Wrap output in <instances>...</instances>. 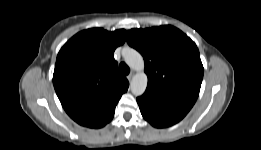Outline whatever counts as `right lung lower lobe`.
Here are the masks:
<instances>
[{
  "label": "right lung lower lobe",
  "mask_w": 261,
  "mask_h": 150,
  "mask_svg": "<svg viewBox=\"0 0 261 150\" xmlns=\"http://www.w3.org/2000/svg\"><path fill=\"white\" fill-rule=\"evenodd\" d=\"M114 114L111 115L107 120H105L102 124H100L99 126L95 127V128H100L103 127L104 125H106L108 122H110L113 118Z\"/></svg>",
  "instance_id": "1"
}]
</instances>
